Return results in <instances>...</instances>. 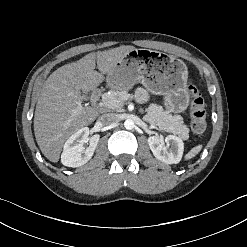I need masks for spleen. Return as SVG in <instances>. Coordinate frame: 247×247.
Wrapping results in <instances>:
<instances>
[{
    "mask_svg": "<svg viewBox=\"0 0 247 247\" xmlns=\"http://www.w3.org/2000/svg\"><path fill=\"white\" fill-rule=\"evenodd\" d=\"M202 145H197L193 147L186 155H185V160H189L194 158L201 150H202Z\"/></svg>",
    "mask_w": 247,
    "mask_h": 247,
    "instance_id": "3e777b00",
    "label": "spleen"
}]
</instances>
